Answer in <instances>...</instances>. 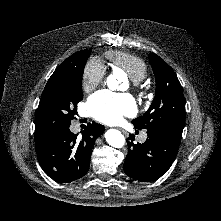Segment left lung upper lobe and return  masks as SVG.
<instances>
[{
    "mask_svg": "<svg viewBox=\"0 0 221 221\" xmlns=\"http://www.w3.org/2000/svg\"><path fill=\"white\" fill-rule=\"evenodd\" d=\"M156 78V94L148 111L132 121L138 130L175 125L184 127L185 97L173 69L158 55L149 54Z\"/></svg>",
    "mask_w": 221,
    "mask_h": 221,
    "instance_id": "1",
    "label": "left lung upper lobe"
}]
</instances>
